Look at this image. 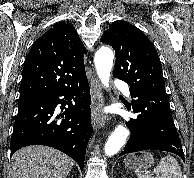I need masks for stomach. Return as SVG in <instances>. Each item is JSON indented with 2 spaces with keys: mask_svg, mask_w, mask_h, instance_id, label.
I'll return each instance as SVG.
<instances>
[{
  "mask_svg": "<svg viewBox=\"0 0 194 178\" xmlns=\"http://www.w3.org/2000/svg\"><path fill=\"white\" fill-rule=\"evenodd\" d=\"M125 166L134 171L147 170L154 163V158L149 152H142L138 155H128L124 159Z\"/></svg>",
  "mask_w": 194,
  "mask_h": 178,
  "instance_id": "stomach-1",
  "label": "stomach"
}]
</instances>
